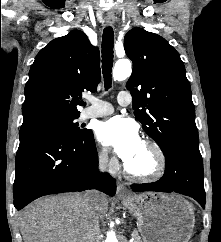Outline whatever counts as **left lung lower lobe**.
<instances>
[{
    "label": "left lung lower lobe",
    "mask_w": 221,
    "mask_h": 242,
    "mask_svg": "<svg viewBox=\"0 0 221 242\" xmlns=\"http://www.w3.org/2000/svg\"><path fill=\"white\" fill-rule=\"evenodd\" d=\"M165 155L166 169L157 182L133 184L136 192H177L194 198L205 208L203 161L198 144L180 142L168 149Z\"/></svg>",
    "instance_id": "0a47b994"
}]
</instances>
